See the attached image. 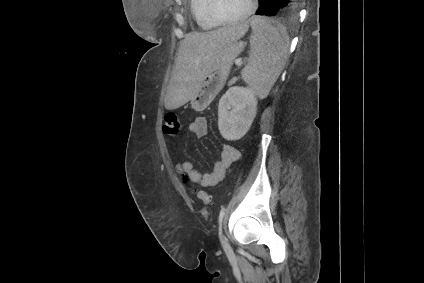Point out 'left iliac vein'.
Listing matches in <instances>:
<instances>
[{
    "mask_svg": "<svg viewBox=\"0 0 424 283\" xmlns=\"http://www.w3.org/2000/svg\"><path fill=\"white\" fill-rule=\"evenodd\" d=\"M221 241H222L224 248L227 249L229 247V245H228V242L226 241V239L221 236Z\"/></svg>",
    "mask_w": 424,
    "mask_h": 283,
    "instance_id": "4c4485c4",
    "label": "left iliac vein"
}]
</instances>
